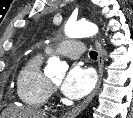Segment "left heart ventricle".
Returning a JSON list of instances; mask_svg holds the SVG:
<instances>
[{"instance_id":"left-heart-ventricle-1","label":"left heart ventricle","mask_w":133,"mask_h":118,"mask_svg":"<svg viewBox=\"0 0 133 118\" xmlns=\"http://www.w3.org/2000/svg\"><path fill=\"white\" fill-rule=\"evenodd\" d=\"M53 81H54V83L58 84L60 82V79H55Z\"/></svg>"}]
</instances>
